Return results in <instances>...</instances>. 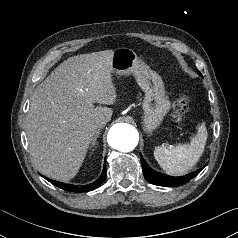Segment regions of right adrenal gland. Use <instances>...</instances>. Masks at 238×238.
Instances as JSON below:
<instances>
[{"label": "right adrenal gland", "mask_w": 238, "mask_h": 238, "mask_svg": "<svg viewBox=\"0 0 238 238\" xmlns=\"http://www.w3.org/2000/svg\"><path fill=\"white\" fill-rule=\"evenodd\" d=\"M101 130H102V127L99 128V129L96 131V133H95V135H94V137H93V139H92V141H91V146H90V148H92V147H94V146L96 145L97 139H98V137H99V135H100Z\"/></svg>", "instance_id": "1"}]
</instances>
